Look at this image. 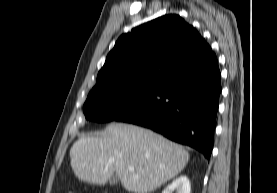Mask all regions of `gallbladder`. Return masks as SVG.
Instances as JSON below:
<instances>
[{"label":"gallbladder","mask_w":277,"mask_h":193,"mask_svg":"<svg viewBox=\"0 0 277 193\" xmlns=\"http://www.w3.org/2000/svg\"><path fill=\"white\" fill-rule=\"evenodd\" d=\"M119 183V178L118 176H112L110 179H109V184L110 185H116Z\"/></svg>","instance_id":"1"}]
</instances>
